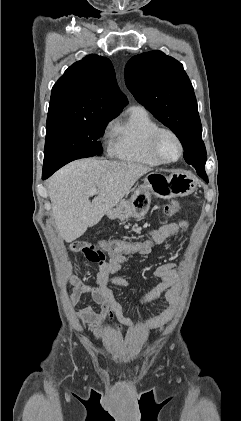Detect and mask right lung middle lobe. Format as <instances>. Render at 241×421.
<instances>
[{
  "instance_id": "obj_1",
  "label": "right lung middle lobe",
  "mask_w": 241,
  "mask_h": 421,
  "mask_svg": "<svg viewBox=\"0 0 241 421\" xmlns=\"http://www.w3.org/2000/svg\"><path fill=\"white\" fill-rule=\"evenodd\" d=\"M115 117L48 115L43 169H59L75 159L101 155L103 149L98 139Z\"/></svg>"
}]
</instances>
